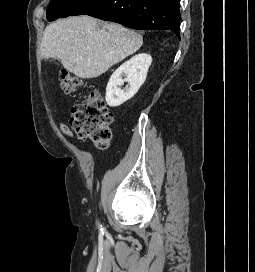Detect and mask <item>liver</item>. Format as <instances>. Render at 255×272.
Here are the masks:
<instances>
[{"mask_svg":"<svg viewBox=\"0 0 255 272\" xmlns=\"http://www.w3.org/2000/svg\"><path fill=\"white\" fill-rule=\"evenodd\" d=\"M143 39L137 32L117 23L98 27L97 19L82 15L49 24L41 42L44 59H59L80 78H96L136 52Z\"/></svg>","mask_w":255,"mask_h":272,"instance_id":"liver-1","label":"liver"}]
</instances>
